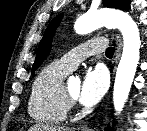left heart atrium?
Instances as JSON below:
<instances>
[{
    "label": "left heart atrium",
    "instance_id": "left-heart-atrium-1",
    "mask_svg": "<svg viewBox=\"0 0 147 131\" xmlns=\"http://www.w3.org/2000/svg\"><path fill=\"white\" fill-rule=\"evenodd\" d=\"M107 88V73L102 68L89 69L80 85L79 101L85 106H94L100 102Z\"/></svg>",
    "mask_w": 147,
    "mask_h": 131
}]
</instances>
